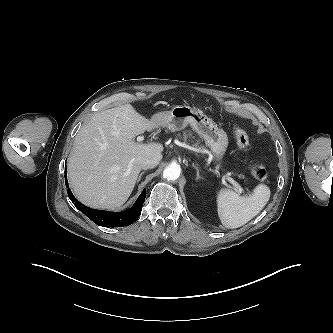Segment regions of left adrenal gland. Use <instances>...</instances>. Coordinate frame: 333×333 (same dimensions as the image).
I'll list each match as a JSON object with an SVG mask.
<instances>
[{"mask_svg":"<svg viewBox=\"0 0 333 333\" xmlns=\"http://www.w3.org/2000/svg\"><path fill=\"white\" fill-rule=\"evenodd\" d=\"M192 166L196 169V180L203 179L200 174H199V169L196 167L194 164Z\"/></svg>","mask_w":333,"mask_h":333,"instance_id":"1","label":"left adrenal gland"}]
</instances>
